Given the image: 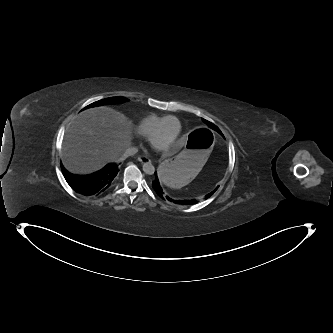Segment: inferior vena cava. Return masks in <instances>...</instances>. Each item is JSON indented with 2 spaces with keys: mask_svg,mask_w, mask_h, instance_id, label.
Here are the masks:
<instances>
[{
  "mask_svg": "<svg viewBox=\"0 0 333 333\" xmlns=\"http://www.w3.org/2000/svg\"><path fill=\"white\" fill-rule=\"evenodd\" d=\"M138 152V149L136 147H128L120 156H118L115 161L122 162L127 157L133 156Z\"/></svg>",
  "mask_w": 333,
  "mask_h": 333,
  "instance_id": "inferior-vena-cava-1",
  "label": "inferior vena cava"
}]
</instances>
